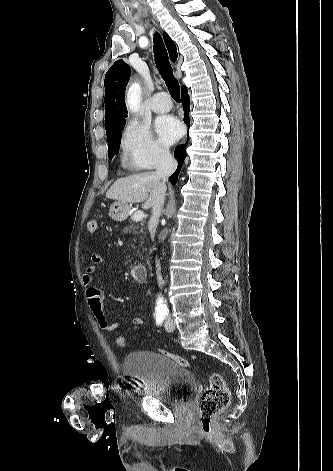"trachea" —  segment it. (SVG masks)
I'll list each match as a JSON object with an SVG mask.
<instances>
[{"label":"trachea","mask_w":333,"mask_h":471,"mask_svg":"<svg viewBox=\"0 0 333 471\" xmlns=\"http://www.w3.org/2000/svg\"><path fill=\"white\" fill-rule=\"evenodd\" d=\"M154 58L156 67L165 81L168 91L175 101H180V86L173 74V69L169 62L168 53L161 36L156 33L154 36Z\"/></svg>","instance_id":"3493384b"}]
</instances>
